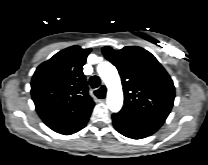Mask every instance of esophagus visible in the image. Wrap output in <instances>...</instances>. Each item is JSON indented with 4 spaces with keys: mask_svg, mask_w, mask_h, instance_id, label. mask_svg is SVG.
<instances>
[{
    "mask_svg": "<svg viewBox=\"0 0 208 165\" xmlns=\"http://www.w3.org/2000/svg\"><path fill=\"white\" fill-rule=\"evenodd\" d=\"M104 89H105V86H102ZM105 100V98H103V99H101V101H104Z\"/></svg>",
    "mask_w": 208,
    "mask_h": 165,
    "instance_id": "obj_1",
    "label": "esophagus"
}]
</instances>
